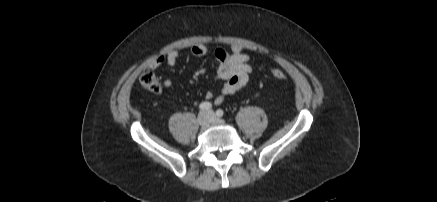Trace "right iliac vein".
<instances>
[{
    "label": "right iliac vein",
    "instance_id": "63e3f726",
    "mask_svg": "<svg viewBox=\"0 0 437 202\" xmlns=\"http://www.w3.org/2000/svg\"><path fill=\"white\" fill-rule=\"evenodd\" d=\"M197 120L202 127H208L211 122V118L206 112H200Z\"/></svg>",
    "mask_w": 437,
    "mask_h": 202
}]
</instances>
